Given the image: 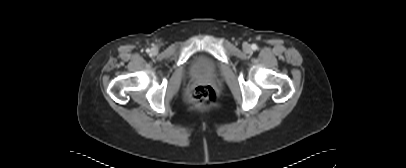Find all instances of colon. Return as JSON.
I'll return each instance as SVG.
<instances>
[{"instance_id": "colon-1", "label": "colon", "mask_w": 406, "mask_h": 168, "mask_svg": "<svg viewBox=\"0 0 406 168\" xmlns=\"http://www.w3.org/2000/svg\"><path fill=\"white\" fill-rule=\"evenodd\" d=\"M216 99L214 89L207 84L196 85L190 95V102L196 108H206L214 104Z\"/></svg>"}]
</instances>
